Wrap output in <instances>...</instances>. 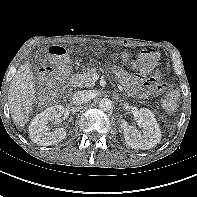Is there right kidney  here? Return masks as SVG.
<instances>
[{"label":"right kidney","instance_id":"1","mask_svg":"<svg viewBox=\"0 0 197 197\" xmlns=\"http://www.w3.org/2000/svg\"><path fill=\"white\" fill-rule=\"evenodd\" d=\"M65 114V109L61 105H55L37 114L29 126L30 138L33 142L41 146H49L59 143L66 136L64 128H56L50 131L49 122H59Z\"/></svg>","mask_w":197,"mask_h":197}]
</instances>
